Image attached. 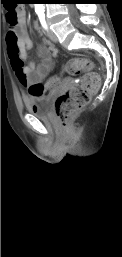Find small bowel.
<instances>
[{"instance_id": "c3829d8e", "label": "small bowel", "mask_w": 122, "mask_h": 257, "mask_svg": "<svg viewBox=\"0 0 122 257\" xmlns=\"http://www.w3.org/2000/svg\"><path fill=\"white\" fill-rule=\"evenodd\" d=\"M35 28L39 29L37 23H35ZM6 46L7 60H11L13 73L16 74L19 82L24 86L28 87V83L45 79L54 67V62L49 56V51L55 50L52 45L48 49L40 48L42 61L39 65L33 62L26 65L27 52L32 48V41L28 35L25 12L22 8L19 10L16 23L14 25L10 24L6 34Z\"/></svg>"}]
</instances>
